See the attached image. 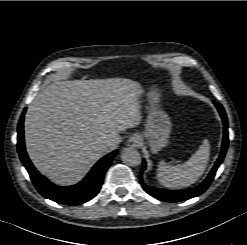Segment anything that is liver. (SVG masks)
<instances>
[{
    "instance_id": "1",
    "label": "liver",
    "mask_w": 247,
    "mask_h": 245,
    "mask_svg": "<svg viewBox=\"0 0 247 245\" xmlns=\"http://www.w3.org/2000/svg\"><path fill=\"white\" fill-rule=\"evenodd\" d=\"M140 85L130 79H57L41 90L25 115L27 153L58 185L79 182L106 153L104 141L141 121Z\"/></svg>"
}]
</instances>
